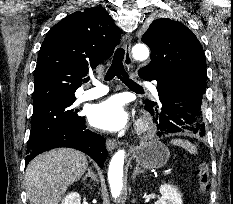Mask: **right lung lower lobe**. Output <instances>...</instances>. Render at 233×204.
<instances>
[{
	"label": "right lung lower lobe",
	"mask_w": 233,
	"mask_h": 204,
	"mask_svg": "<svg viewBox=\"0 0 233 204\" xmlns=\"http://www.w3.org/2000/svg\"><path fill=\"white\" fill-rule=\"evenodd\" d=\"M58 147L80 150L94 159L101 168L108 155L104 138L87 130L82 118L77 125L61 130L29 149L25 166L38 154Z\"/></svg>",
	"instance_id": "98d812e1"
}]
</instances>
